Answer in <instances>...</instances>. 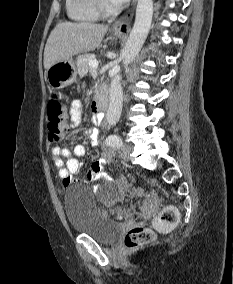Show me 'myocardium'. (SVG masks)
<instances>
[{"label":"myocardium","mask_w":233,"mask_h":284,"mask_svg":"<svg viewBox=\"0 0 233 284\" xmlns=\"http://www.w3.org/2000/svg\"><path fill=\"white\" fill-rule=\"evenodd\" d=\"M95 3L100 15L111 16L118 12V8L108 0H95Z\"/></svg>","instance_id":"obj_1"}]
</instances>
